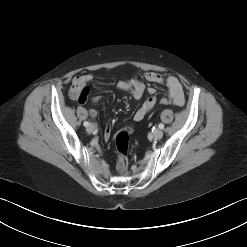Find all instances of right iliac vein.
<instances>
[{"instance_id": "obj_1", "label": "right iliac vein", "mask_w": 247, "mask_h": 247, "mask_svg": "<svg viewBox=\"0 0 247 247\" xmlns=\"http://www.w3.org/2000/svg\"><path fill=\"white\" fill-rule=\"evenodd\" d=\"M95 128H96L95 125L90 124L87 126L86 130H87V132L91 133L95 130Z\"/></svg>"}]
</instances>
